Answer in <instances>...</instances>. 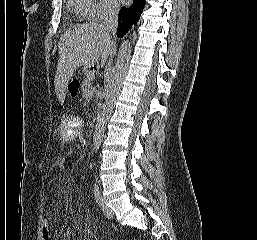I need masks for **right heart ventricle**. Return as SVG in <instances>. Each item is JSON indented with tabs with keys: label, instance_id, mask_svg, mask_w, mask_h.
I'll return each mask as SVG.
<instances>
[{
	"label": "right heart ventricle",
	"instance_id": "e07e8e85",
	"mask_svg": "<svg viewBox=\"0 0 257 240\" xmlns=\"http://www.w3.org/2000/svg\"><path fill=\"white\" fill-rule=\"evenodd\" d=\"M92 0H68V8L79 19H88L92 9Z\"/></svg>",
	"mask_w": 257,
	"mask_h": 240
}]
</instances>
